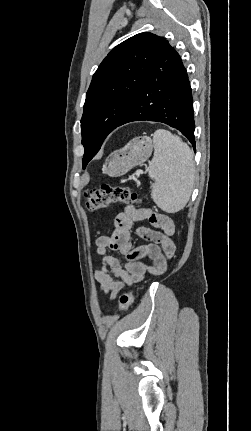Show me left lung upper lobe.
<instances>
[{
  "label": "left lung upper lobe",
  "instance_id": "obj_1",
  "mask_svg": "<svg viewBox=\"0 0 251 431\" xmlns=\"http://www.w3.org/2000/svg\"><path fill=\"white\" fill-rule=\"evenodd\" d=\"M164 44L163 37L140 33L117 45L99 65L81 119L83 168L126 115Z\"/></svg>",
  "mask_w": 251,
  "mask_h": 431
}]
</instances>
